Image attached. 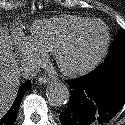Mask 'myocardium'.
<instances>
[{
    "label": "myocardium",
    "instance_id": "f54148a6",
    "mask_svg": "<svg viewBox=\"0 0 125 125\" xmlns=\"http://www.w3.org/2000/svg\"><path fill=\"white\" fill-rule=\"evenodd\" d=\"M92 26H100L103 30V39L100 45L99 50L97 53L88 59L87 61L79 64L77 66H68L63 60L64 54L67 50L73 46L78 38L89 28ZM110 33L108 27L100 20H89L85 24L81 25L80 27L76 28L73 32H71L65 39H63L54 51V59L55 62L60 69V71L68 77H77L80 75H84L89 71L96 68L100 62L105 57L109 44H110Z\"/></svg>",
    "mask_w": 125,
    "mask_h": 125
}]
</instances>
